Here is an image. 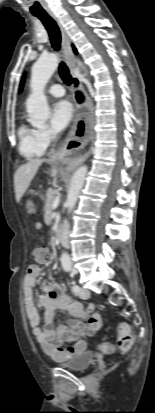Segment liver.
<instances>
[{
	"label": "liver",
	"mask_w": 155,
	"mask_h": 413,
	"mask_svg": "<svg viewBox=\"0 0 155 413\" xmlns=\"http://www.w3.org/2000/svg\"><path fill=\"white\" fill-rule=\"evenodd\" d=\"M44 159H31L27 163L20 166L14 175V189L16 201L19 203L22 196L29 188L31 181L38 172L39 167L44 162Z\"/></svg>",
	"instance_id": "1"
}]
</instances>
